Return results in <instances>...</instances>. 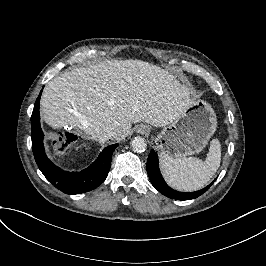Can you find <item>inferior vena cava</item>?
Listing matches in <instances>:
<instances>
[{"instance_id":"obj_1","label":"inferior vena cava","mask_w":266,"mask_h":266,"mask_svg":"<svg viewBox=\"0 0 266 266\" xmlns=\"http://www.w3.org/2000/svg\"><path fill=\"white\" fill-rule=\"evenodd\" d=\"M115 134H116L115 129H110V130L107 129L105 131L97 132L95 139L99 142H104V141H107L108 139L112 138L113 136H115Z\"/></svg>"}]
</instances>
